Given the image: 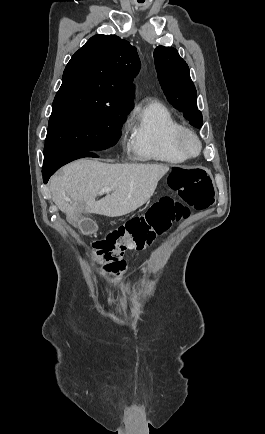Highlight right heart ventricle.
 Here are the masks:
<instances>
[{"label": "right heart ventricle", "mask_w": 265, "mask_h": 434, "mask_svg": "<svg viewBox=\"0 0 265 434\" xmlns=\"http://www.w3.org/2000/svg\"><path fill=\"white\" fill-rule=\"evenodd\" d=\"M129 124L131 135L128 138V148L138 159L168 165L186 162L176 147V137L183 126L163 102L150 100L136 107Z\"/></svg>", "instance_id": "e07e8e85"}]
</instances>
